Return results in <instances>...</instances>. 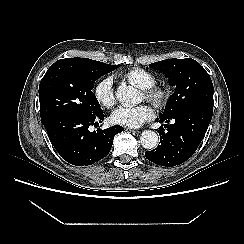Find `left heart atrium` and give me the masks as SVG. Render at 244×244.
<instances>
[{"mask_svg": "<svg viewBox=\"0 0 244 244\" xmlns=\"http://www.w3.org/2000/svg\"><path fill=\"white\" fill-rule=\"evenodd\" d=\"M153 117L154 112L148 105L119 106L111 115L114 123L129 128H138Z\"/></svg>", "mask_w": 244, "mask_h": 244, "instance_id": "1", "label": "left heart atrium"}]
</instances>
